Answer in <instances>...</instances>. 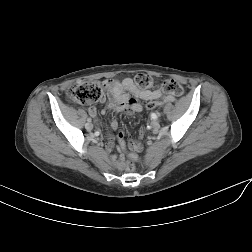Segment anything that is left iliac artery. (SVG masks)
I'll return each mask as SVG.
<instances>
[{"mask_svg":"<svg viewBox=\"0 0 252 252\" xmlns=\"http://www.w3.org/2000/svg\"><path fill=\"white\" fill-rule=\"evenodd\" d=\"M151 117H152L153 119H158V115H157L156 113H152V114H151Z\"/></svg>","mask_w":252,"mask_h":252,"instance_id":"obj_1","label":"left iliac artery"}]
</instances>
